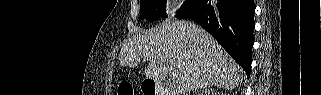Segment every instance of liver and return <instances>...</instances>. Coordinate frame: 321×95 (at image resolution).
Returning a JSON list of instances; mask_svg holds the SVG:
<instances>
[{
    "instance_id": "liver-1",
    "label": "liver",
    "mask_w": 321,
    "mask_h": 95,
    "mask_svg": "<svg viewBox=\"0 0 321 95\" xmlns=\"http://www.w3.org/2000/svg\"><path fill=\"white\" fill-rule=\"evenodd\" d=\"M144 58V75L158 82L170 70L176 74L177 92L217 86L234 89L244 78L242 68L204 29L188 21H166L150 34L125 42L119 54L121 66L135 67Z\"/></svg>"
}]
</instances>
